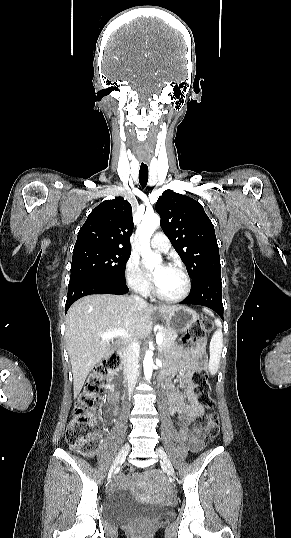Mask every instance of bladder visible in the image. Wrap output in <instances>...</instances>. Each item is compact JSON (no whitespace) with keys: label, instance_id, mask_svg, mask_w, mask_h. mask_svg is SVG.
I'll return each mask as SVG.
<instances>
[{"label":"bladder","instance_id":"bladder-1","mask_svg":"<svg viewBox=\"0 0 291 538\" xmlns=\"http://www.w3.org/2000/svg\"><path fill=\"white\" fill-rule=\"evenodd\" d=\"M104 516L111 523H121L137 516H160L164 510L137 501L127 489L111 493L104 501Z\"/></svg>","mask_w":291,"mask_h":538}]
</instances>
